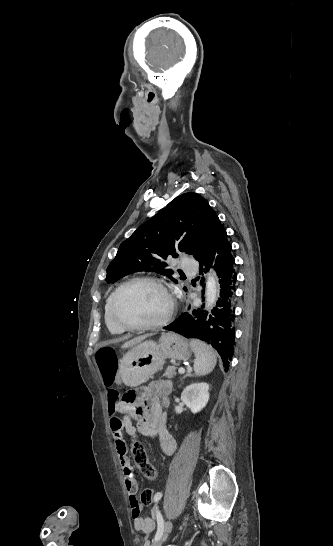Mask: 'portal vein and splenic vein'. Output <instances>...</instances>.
I'll use <instances>...</instances> for the list:
<instances>
[{"instance_id": "1", "label": "portal vein and splenic vein", "mask_w": 333, "mask_h": 546, "mask_svg": "<svg viewBox=\"0 0 333 546\" xmlns=\"http://www.w3.org/2000/svg\"><path fill=\"white\" fill-rule=\"evenodd\" d=\"M178 372H179V374H184V373H185V369H184V368H179V369H178Z\"/></svg>"}]
</instances>
